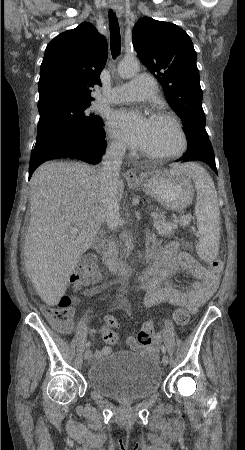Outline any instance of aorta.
<instances>
[{
    "label": "aorta",
    "mask_w": 245,
    "mask_h": 450,
    "mask_svg": "<svg viewBox=\"0 0 245 450\" xmlns=\"http://www.w3.org/2000/svg\"><path fill=\"white\" fill-rule=\"evenodd\" d=\"M139 71V62L135 59L122 60L118 65V74L122 78L134 76Z\"/></svg>",
    "instance_id": "1"
}]
</instances>
